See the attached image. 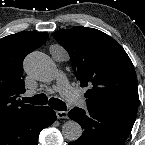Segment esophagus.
<instances>
[{
  "mask_svg": "<svg viewBox=\"0 0 145 145\" xmlns=\"http://www.w3.org/2000/svg\"><path fill=\"white\" fill-rule=\"evenodd\" d=\"M56 116L58 119L68 118V113L66 111H56Z\"/></svg>",
  "mask_w": 145,
  "mask_h": 145,
  "instance_id": "1",
  "label": "esophagus"
}]
</instances>
